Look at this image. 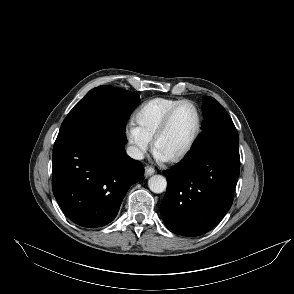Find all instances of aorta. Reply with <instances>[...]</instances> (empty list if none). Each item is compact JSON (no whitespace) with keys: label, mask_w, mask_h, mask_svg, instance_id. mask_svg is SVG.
<instances>
[{"label":"aorta","mask_w":294,"mask_h":294,"mask_svg":"<svg viewBox=\"0 0 294 294\" xmlns=\"http://www.w3.org/2000/svg\"><path fill=\"white\" fill-rule=\"evenodd\" d=\"M148 187L154 193H162L167 187L166 178L162 175H153L148 180Z\"/></svg>","instance_id":"1"}]
</instances>
